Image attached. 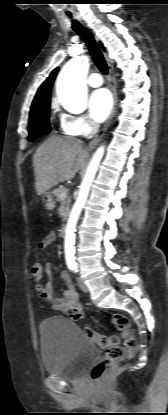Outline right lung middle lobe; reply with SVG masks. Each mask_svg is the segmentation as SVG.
<instances>
[{
    "label": "right lung middle lobe",
    "instance_id": "obj_1",
    "mask_svg": "<svg viewBox=\"0 0 168 415\" xmlns=\"http://www.w3.org/2000/svg\"><path fill=\"white\" fill-rule=\"evenodd\" d=\"M50 104L30 112L29 116V141L47 134L51 131L49 125Z\"/></svg>",
    "mask_w": 168,
    "mask_h": 415
}]
</instances>
